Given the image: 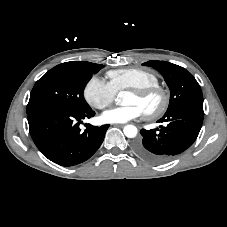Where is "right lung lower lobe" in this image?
Here are the masks:
<instances>
[{
	"instance_id": "right-lung-lower-lobe-1",
	"label": "right lung lower lobe",
	"mask_w": 227,
	"mask_h": 227,
	"mask_svg": "<svg viewBox=\"0 0 227 227\" xmlns=\"http://www.w3.org/2000/svg\"><path fill=\"white\" fill-rule=\"evenodd\" d=\"M95 112L52 107L38 108L28 113L31 137L42 154L61 166H73L89 159L100 147L109 125H89L81 132L82 119Z\"/></svg>"
}]
</instances>
